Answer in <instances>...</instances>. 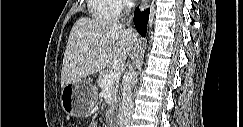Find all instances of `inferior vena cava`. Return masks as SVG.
<instances>
[{
	"mask_svg": "<svg viewBox=\"0 0 243 127\" xmlns=\"http://www.w3.org/2000/svg\"><path fill=\"white\" fill-rule=\"evenodd\" d=\"M127 6L132 7L133 3L131 0H128ZM122 88V103H121V113L119 116V127H129L131 121V112L133 110V101L131 98L132 93V77L131 72H127L124 75Z\"/></svg>",
	"mask_w": 243,
	"mask_h": 127,
	"instance_id": "obj_1",
	"label": "inferior vena cava"
}]
</instances>
